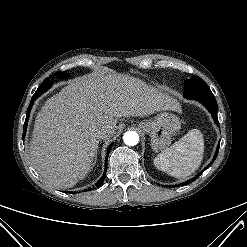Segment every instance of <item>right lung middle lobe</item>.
<instances>
[{
	"label": "right lung middle lobe",
	"mask_w": 247,
	"mask_h": 247,
	"mask_svg": "<svg viewBox=\"0 0 247 247\" xmlns=\"http://www.w3.org/2000/svg\"><path fill=\"white\" fill-rule=\"evenodd\" d=\"M55 76H57L58 78H67L69 77V74L68 73H64V72H57L55 74ZM51 79L53 80V77L51 78H46L42 84L40 85V87L36 90L35 94L33 95V97H36L38 98L39 96H41L44 92H46L52 85V81Z\"/></svg>",
	"instance_id": "dd1d6c3e"
}]
</instances>
